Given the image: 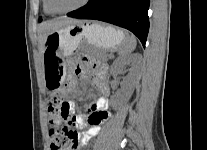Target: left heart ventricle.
Returning a JSON list of instances; mask_svg holds the SVG:
<instances>
[{
    "label": "left heart ventricle",
    "mask_w": 207,
    "mask_h": 150,
    "mask_svg": "<svg viewBox=\"0 0 207 150\" xmlns=\"http://www.w3.org/2000/svg\"><path fill=\"white\" fill-rule=\"evenodd\" d=\"M52 5L57 10H67L80 4L82 0H51Z\"/></svg>",
    "instance_id": "left-heart-ventricle-1"
}]
</instances>
